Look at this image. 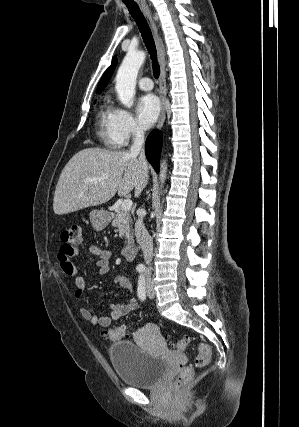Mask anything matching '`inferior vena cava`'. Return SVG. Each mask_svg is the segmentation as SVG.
<instances>
[{"instance_id": "inferior-vena-cava-1", "label": "inferior vena cava", "mask_w": 299, "mask_h": 427, "mask_svg": "<svg viewBox=\"0 0 299 427\" xmlns=\"http://www.w3.org/2000/svg\"><path fill=\"white\" fill-rule=\"evenodd\" d=\"M130 154L132 155H139L138 160L142 169L143 174L145 175L146 179L148 178L147 171H148V165L145 157L144 152V132L141 128H136L135 130V136L133 139V144L130 148ZM145 213L143 209L137 210V216L138 219L135 222V236L136 240L139 243L142 252L143 257L145 260L147 268V273L150 274L151 268L149 267L152 257H153V241L149 233L147 232L144 223H143V217Z\"/></svg>"}]
</instances>
